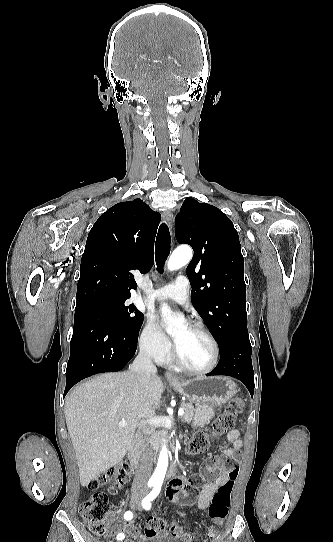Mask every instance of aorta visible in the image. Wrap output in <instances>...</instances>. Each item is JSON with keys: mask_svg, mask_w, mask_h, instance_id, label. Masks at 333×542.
<instances>
[{"mask_svg": "<svg viewBox=\"0 0 333 542\" xmlns=\"http://www.w3.org/2000/svg\"><path fill=\"white\" fill-rule=\"evenodd\" d=\"M187 250L188 252H182V250H174L167 264V268L168 270H170V272H174V270H179V268H183V266H186V264H188L189 260H191L192 258V250H190V248H187ZM160 310L163 318H165L168 324L167 332H170V330H173V328H176V326L180 324V318H174L173 312L171 308H169L168 304H162ZM167 468L168 450L166 446H162L156 470L151 478V482H153V486H155V488H161L164 482V478L166 476Z\"/></svg>", "mask_w": 333, "mask_h": 542, "instance_id": "obj_1", "label": "aorta"}]
</instances>
